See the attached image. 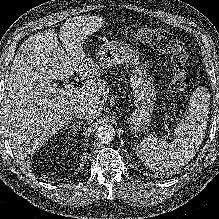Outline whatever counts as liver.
I'll use <instances>...</instances> for the list:
<instances>
[{
    "mask_svg": "<svg viewBox=\"0 0 219 219\" xmlns=\"http://www.w3.org/2000/svg\"><path fill=\"white\" fill-rule=\"evenodd\" d=\"M103 24L101 17L76 16L60 28L59 39L55 29H47L20 46L5 79L0 113L2 132L21 161L27 159L29 164L30 156L69 125L77 105L92 110L90 121L101 113L109 89L83 44ZM74 71L87 79L83 86L71 88L65 95L53 91L52 81L68 79Z\"/></svg>",
    "mask_w": 219,
    "mask_h": 219,
    "instance_id": "1",
    "label": "liver"
}]
</instances>
